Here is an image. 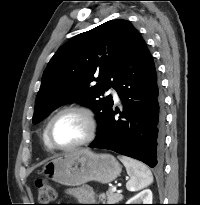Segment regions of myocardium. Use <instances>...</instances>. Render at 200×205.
Listing matches in <instances>:
<instances>
[{
  "instance_id": "obj_1",
  "label": "myocardium",
  "mask_w": 200,
  "mask_h": 205,
  "mask_svg": "<svg viewBox=\"0 0 200 205\" xmlns=\"http://www.w3.org/2000/svg\"><path fill=\"white\" fill-rule=\"evenodd\" d=\"M70 112L80 114L84 118L86 122V126H87L86 135L83 139H81L80 141L72 145L61 146L55 143V141L52 138V133H51L52 127H53L54 122L61 115L65 113H70ZM97 132H98V121H97L96 115L91 108L84 106V105H70V106H66L62 108L61 110H59L57 113H55L52 116V118L49 120L47 127H46V137H47L48 143L50 144L52 148L61 150V151H70V150H74L79 147L90 144L96 138Z\"/></svg>"
}]
</instances>
